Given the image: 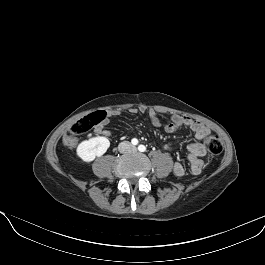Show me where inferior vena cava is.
<instances>
[{
    "label": "inferior vena cava",
    "mask_w": 265,
    "mask_h": 265,
    "mask_svg": "<svg viewBox=\"0 0 265 265\" xmlns=\"http://www.w3.org/2000/svg\"><path fill=\"white\" fill-rule=\"evenodd\" d=\"M133 149V145L128 141H123L119 143L118 150L120 153H129Z\"/></svg>",
    "instance_id": "inferior-vena-cava-1"
}]
</instances>
